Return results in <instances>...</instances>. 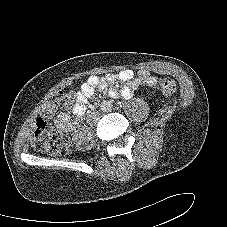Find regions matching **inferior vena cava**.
Here are the masks:
<instances>
[{
	"label": "inferior vena cava",
	"instance_id": "602c4592",
	"mask_svg": "<svg viewBox=\"0 0 227 227\" xmlns=\"http://www.w3.org/2000/svg\"><path fill=\"white\" fill-rule=\"evenodd\" d=\"M106 105H109L110 106V109L108 110V111H110L111 110V103L110 102H108V101H103L102 102V104H101V109L103 110L104 109V107L106 106Z\"/></svg>",
	"mask_w": 227,
	"mask_h": 227
}]
</instances>
